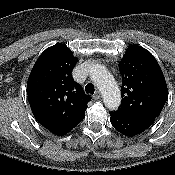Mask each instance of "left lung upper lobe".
Returning <instances> with one entry per match:
<instances>
[{
	"instance_id": "5c2ea615",
	"label": "left lung upper lobe",
	"mask_w": 175,
	"mask_h": 175,
	"mask_svg": "<svg viewBox=\"0 0 175 175\" xmlns=\"http://www.w3.org/2000/svg\"><path fill=\"white\" fill-rule=\"evenodd\" d=\"M122 101L114 113L157 117L168 98L162 70L154 56L138 45L129 47L119 64Z\"/></svg>"
}]
</instances>
